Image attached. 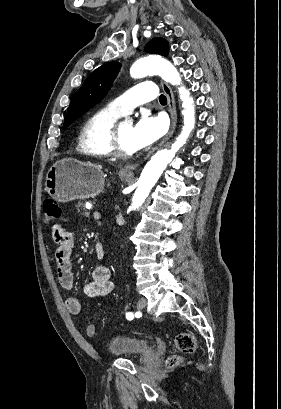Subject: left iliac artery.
Returning <instances> with one entry per match:
<instances>
[{
  "instance_id": "left-iliac-artery-1",
  "label": "left iliac artery",
  "mask_w": 281,
  "mask_h": 409,
  "mask_svg": "<svg viewBox=\"0 0 281 409\" xmlns=\"http://www.w3.org/2000/svg\"><path fill=\"white\" fill-rule=\"evenodd\" d=\"M126 318L128 320H132L134 318V314L132 312H128V313H126Z\"/></svg>"
}]
</instances>
